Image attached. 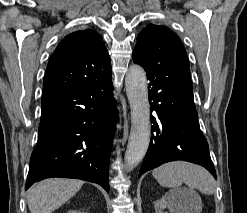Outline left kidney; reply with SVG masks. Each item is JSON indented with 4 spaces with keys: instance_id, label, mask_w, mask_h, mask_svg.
Segmentation results:
<instances>
[{
    "instance_id": "obj_1",
    "label": "left kidney",
    "mask_w": 247,
    "mask_h": 213,
    "mask_svg": "<svg viewBox=\"0 0 247 213\" xmlns=\"http://www.w3.org/2000/svg\"><path fill=\"white\" fill-rule=\"evenodd\" d=\"M196 195L189 190L169 191L154 203L156 213H165L168 208L171 213H200Z\"/></svg>"
}]
</instances>
